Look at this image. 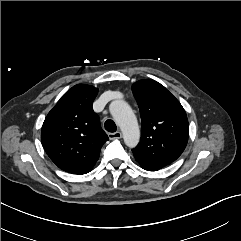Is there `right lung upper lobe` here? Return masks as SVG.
I'll return each mask as SVG.
<instances>
[{
  "label": "right lung upper lobe",
  "mask_w": 241,
  "mask_h": 241,
  "mask_svg": "<svg viewBox=\"0 0 241 241\" xmlns=\"http://www.w3.org/2000/svg\"><path fill=\"white\" fill-rule=\"evenodd\" d=\"M98 89L78 84L65 93L44 120L41 141L50 159L73 174L90 172L108 136L92 104Z\"/></svg>",
  "instance_id": "right-lung-upper-lobe-1"
}]
</instances>
